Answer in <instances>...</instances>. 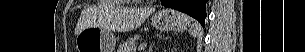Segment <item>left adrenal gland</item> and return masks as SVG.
I'll use <instances>...</instances> for the list:
<instances>
[{"label": "left adrenal gland", "instance_id": "a2214340", "mask_svg": "<svg viewBox=\"0 0 305 52\" xmlns=\"http://www.w3.org/2000/svg\"><path fill=\"white\" fill-rule=\"evenodd\" d=\"M152 49H153V46H151V47L149 48V52H152Z\"/></svg>", "mask_w": 305, "mask_h": 52}]
</instances>
